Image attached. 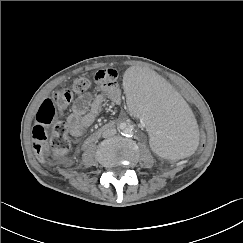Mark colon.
<instances>
[{
  "instance_id": "5ec220e1",
  "label": "colon",
  "mask_w": 243,
  "mask_h": 243,
  "mask_svg": "<svg viewBox=\"0 0 243 243\" xmlns=\"http://www.w3.org/2000/svg\"><path fill=\"white\" fill-rule=\"evenodd\" d=\"M101 79H110L107 72L100 74ZM90 86L89 80L86 78H77L73 83V91L77 93H84ZM73 93L68 88H61L55 91L52 96L43 101L39 111L37 113L38 123L32 130V147L36 155L40 160L45 158L48 150V135L47 127L52 125L53 136L50 139V145L56 154H65L70 150L71 142L67 136L68 127L64 122L53 123L54 116L57 110L65 109L72 101ZM201 124V121H198ZM199 140L195 147L197 155H200L204 151L208 138V130L202 125H199ZM197 155H193L192 159L197 158ZM190 162V159H187ZM181 163H185V160H181Z\"/></svg>"
}]
</instances>
